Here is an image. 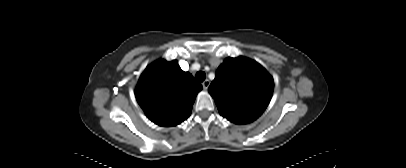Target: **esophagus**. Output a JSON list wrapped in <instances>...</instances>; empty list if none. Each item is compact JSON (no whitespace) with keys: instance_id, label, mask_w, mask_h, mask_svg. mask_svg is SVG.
Instances as JSON below:
<instances>
[{"instance_id":"obj_1","label":"esophagus","mask_w":406,"mask_h":168,"mask_svg":"<svg viewBox=\"0 0 406 168\" xmlns=\"http://www.w3.org/2000/svg\"><path fill=\"white\" fill-rule=\"evenodd\" d=\"M209 85H210V81H209L208 79H206V80L203 81V83H202V86H203V88H204L205 90L208 89Z\"/></svg>"}]
</instances>
